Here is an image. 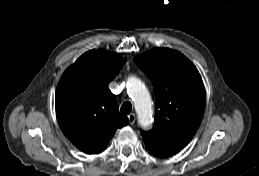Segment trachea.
Returning <instances> with one entry per match:
<instances>
[{
	"label": "trachea",
	"mask_w": 259,
	"mask_h": 176,
	"mask_svg": "<svg viewBox=\"0 0 259 176\" xmlns=\"http://www.w3.org/2000/svg\"><path fill=\"white\" fill-rule=\"evenodd\" d=\"M131 110H132V105H131V102L129 101L124 102L120 108V111L123 114H130Z\"/></svg>",
	"instance_id": "1"
}]
</instances>
